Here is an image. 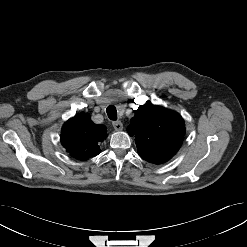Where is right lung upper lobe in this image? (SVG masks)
I'll use <instances>...</instances> for the list:
<instances>
[{
    "instance_id": "obj_1",
    "label": "right lung upper lobe",
    "mask_w": 247,
    "mask_h": 247,
    "mask_svg": "<svg viewBox=\"0 0 247 247\" xmlns=\"http://www.w3.org/2000/svg\"><path fill=\"white\" fill-rule=\"evenodd\" d=\"M107 128L94 124L88 114L69 119L62 127L61 141L73 157L88 160L100 153L99 142L106 137Z\"/></svg>"
}]
</instances>
